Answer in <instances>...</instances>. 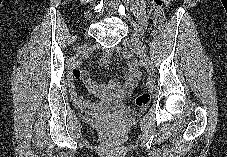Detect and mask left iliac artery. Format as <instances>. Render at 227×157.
<instances>
[{
	"label": "left iliac artery",
	"instance_id": "1",
	"mask_svg": "<svg viewBox=\"0 0 227 157\" xmlns=\"http://www.w3.org/2000/svg\"><path fill=\"white\" fill-rule=\"evenodd\" d=\"M141 42H142V41H141ZM142 47H143V49L146 51V46H145V45H143Z\"/></svg>",
	"mask_w": 227,
	"mask_h": 157
}]
</instances>
